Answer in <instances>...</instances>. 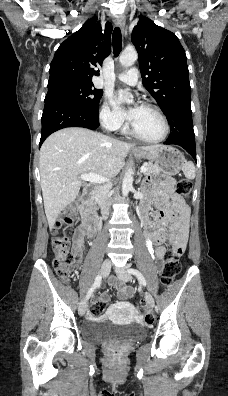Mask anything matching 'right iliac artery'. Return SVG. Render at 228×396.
Returning <instances> with one entry per match:
<instances>
[{"mask_svg": "<svg viewBox=\"0 0 228 396\" xmlns=\"http://www.w3.org/2000/svg\"><path fill=\"white\" fill-rule=\"evenodd\" d=\"M101 280H102V276L97 275L93 286L90 288V290L88 291V293L86 295V300H88L92 296L94 290L101 284Z\"/></svg>", "mask_w": 228, "mask_h": 396, "instance_id": "obj_1", "label": "right iliac artery"}]
</instances>
